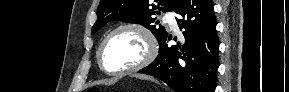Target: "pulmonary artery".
<instances>
[{
    "label": "pulmonary artery",
    "instance_id": "e3ab8cb5",
    "mask_svg": "<svg viewBox=\"0 0 289 92\" xmlns=\"http://www.w3.org/2000/svg\"><path fill=\"white\" fill-rule=\"evenodd\" d=\"M164 21H165L166 23H168L169 26H170L172 29L176 30V29L178 28V26H177V21H176L175 16H174L173 13L167 12V13L164 15Z\"/></svg>",
    "mask_w": 289,
    "mask_h": 92
}]
</instances>
